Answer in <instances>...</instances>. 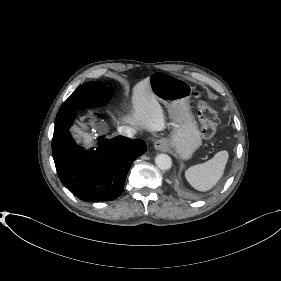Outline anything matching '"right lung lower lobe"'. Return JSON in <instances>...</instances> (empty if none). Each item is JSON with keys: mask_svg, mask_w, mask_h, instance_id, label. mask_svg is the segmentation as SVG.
Wrapping results in <instances>:
<instances>
[{"mask_svg": "<svg viewBox=\"0 0 281 281\" xmlns=\"http://www.w3.org/2000/svg\"><path fill=\"white\" fill-rule=\"evenodd\" d=\"M74 118L71 112L55 123L52 154L61 182L86 202L116 199L123 192L131 164L146 152L145 142L124 136L111 141L100 137L99 147L87 152L68 131Z\"/></svg>", "mask_w": 281, "mask_h": 281, "instance_id": "1", "label": "right lung lower lobe"}]
</instances>
